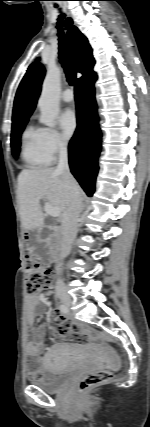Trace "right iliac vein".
Here are the masks:
<instances>
[{
    "label": "right iliac vein",
    "mask_w": 150,
    "mask_h": 427,
    "mask_svg": "<svg viewBox=\"0 0 150 427\" xmlns=\"http://www.w3.org/2000/svg\"><path fill=\"white\" fill-rule=\"evenodd\" d=\"M58 297L61 299V301L64 303V305L66 306H70L72 303L71 297L67 294V292L65 291H59L58 292Z\"/></svg>",
    "instance_id": "right-iliac-vein-1"
}]
</instances>
